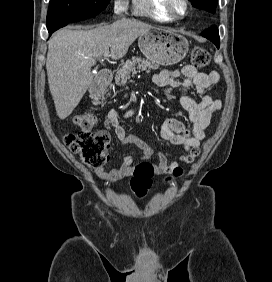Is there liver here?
Returning a JSON list of instances; mask_svg holds the SVG:
<instances>
[{
    "label": "liver",
    "instance_id": "obj_1",
    "mask_svg": "<svg viewBox=\"0 0 272 282\" xmlns=\"http://www.w3.org/2000/svg\"><path fill=\"white\" fill-rule=\"evenodd\" d=\"M153 26L122 18L90 30H59L49 41L46 60L49 89L56 113L67 118L93 82L91 68L110 48L114 60L126 55L130 45Z\"/></svg>",
    "mask_w": 272,
    "mask_h": 282
}]
</instances>
